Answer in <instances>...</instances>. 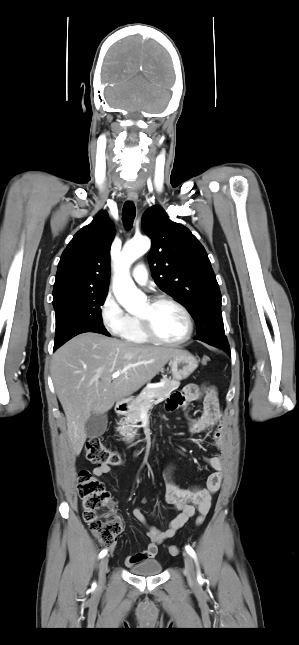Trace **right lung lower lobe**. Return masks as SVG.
Listing matches in <instances>:
<instances>
[{"instance_id":"right-lung-lower-lobe-1","label":"right lung lower lobe","mask_w":299,"mask_h":645,"mask_svg":"<svg viewBox=\"0 0 299 645\" xmlns=\"http://www.w3.org/2000/svg\"><path fill=\"white\" fill-rule=\"evenodd\" d=\"M84 332H91V331H83V332H80V333H78V334H81V333H84ZM78 334H76V335H78ZM100 334H104V335L109 336V333H100ZM76 335H74V336H76ZM74 336H72V337H74ZM72 337H71V338H72ZM71 338H70V339H71ZM58 347H59V346H55V345H54V350H55L56 348H58Z\"/></svg>"}]
</instances>
